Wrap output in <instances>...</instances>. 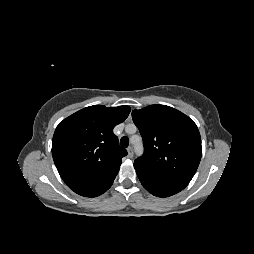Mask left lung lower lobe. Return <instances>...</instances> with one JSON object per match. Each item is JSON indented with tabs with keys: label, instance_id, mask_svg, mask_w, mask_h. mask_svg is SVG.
<instances>
[{
	"label": "left lung lower lobe",
	"instance_id": "left-lung-lower-lobe-1",
	"mask_svg": "<svg viewBox=\"0 0 254 254\" xmlns=\"http://www.w3.org/2000/svg\"><path fill=\"white\" fill-rule=\"evenodd\" d=\"M134 168L143 187L158 197H168L183 190L189 182L155 175L135 165Z\"/></svg>",
	"mask_w": 254,
	"mask_h": 254
}]
</instances>
